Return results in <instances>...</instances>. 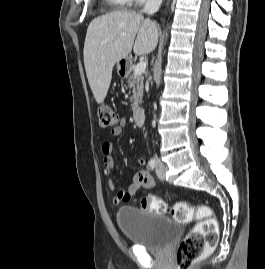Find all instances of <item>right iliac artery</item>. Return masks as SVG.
Here are the masks:
<instances>
[{"label": "right iliac artery", "mask_w": 265, "mask_h": 269, "mask_svg": "<svg viewBox=\"0 0 265 269\" xmlns=\"http://www.w3.org/2000/svg\"><path fill=\"white\" fill-rule=\"evenodd\" d=\"M155 166H156V161H155V159H151V160L148 162V168H149L150 170H153Z\"/></svg>", "instance_id": "right-iliac-artery-1"}]
</instances>
